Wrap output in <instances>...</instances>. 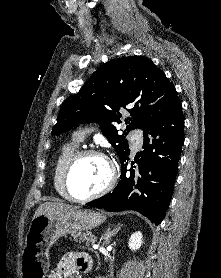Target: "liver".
Returning <instances> with one entry per match:
<instances>
[{
  "mask_svg": "<svg viewBox=\"0 0 221 278\" xmlns=\"http://www.w3.org/2000/svg\"><path fill=\"white\" fill-rule=\"evenodd\" d=\"M73 209H77V208L74 206H71V205L64 204V203L45 202L37 208V210L34 214V217L41 215V214H45V213H49V214L65 213V212L73 210Z\"/></svg>",
  "mask_w": 221,
  "mask_h": 278,
  "instance_id": "1",
  "label": "liver"
}]
</instances>
